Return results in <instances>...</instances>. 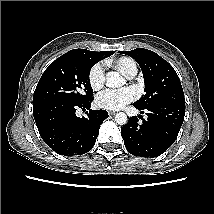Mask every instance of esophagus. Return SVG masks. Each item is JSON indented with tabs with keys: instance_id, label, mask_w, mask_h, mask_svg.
I'll use <instances>...</instances> for the list:
<instances>
[{
	"instance_id": "esophagus-1",
	"label": "esophagus",
	"mask_w": 214,
	"mask_h": 214,
	"mask_svg": "<svg viewBox=\"0 0 214 214\" xmlns=\"http://www.w3.org/2000/svg\"><path fill=\"white\" fill-rule=\"evenodd\" d=\"M115 113H116L115 111H109L108 112L109 115H115Z\"/></svg>"
}]
</instances>
